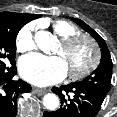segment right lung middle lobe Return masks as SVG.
Segmentation results:
<instances>
[{
  "instance_id": "obj_1",
  "label": "right lung middle lobe",
  "mask_w": 117,
  "mask_h": 117,
  "mask_svg": "<svg viewBox=\"0 0 117 117\" xmlns=\"http://www.w3.org/2000/svg\"><path fill=\"white\" fill-rule=\"evenodd\" d=\"M26 23L27 19L17 13L0 18V72L10 68L8 62L15 66L16 36Z\"/></svg>"
}]
</instances>
